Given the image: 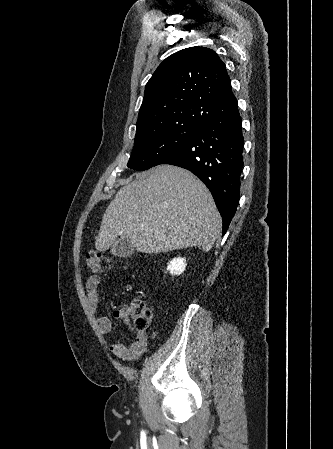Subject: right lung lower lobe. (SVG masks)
<instances>
[{
    "instance_id": "1",
    "label": "right lung lower lobe",
    "mask_w": 333,
    "mask_h": 449,
    "mask_svg": "<svg viewBox=\"0 0 333 449\" xmlns=\"http://www.w3.org/2000/svg\"><path fill=\"white\" fill-rule=\"evenodd\" d=\"M242 120L236 107L204 124L158 162L185 168L211 191L223 220V234L236 212L243 168Z\"/></svg>"
}]
</instances>
